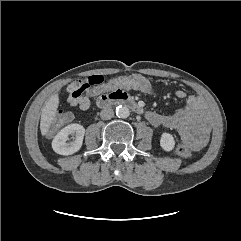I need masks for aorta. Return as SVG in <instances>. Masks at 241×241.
<instances>
[{"instance_id": "762f6f07", "label": "aorta", "mask_w": 241, "mask_h": 241, "mask_svg": "<svg viewBox=\"0 0 241 241\" xmlns=\"http://www.w3.org/2000/svg\"><path fill=\"white\" fill-rule=\"evenodd\" d=\"M116 115L120 118H127L130 115V110L126 106L116 107Z\"/></svg>"}]
</instances>
